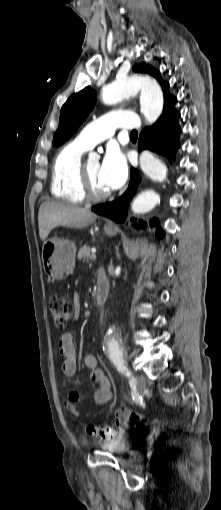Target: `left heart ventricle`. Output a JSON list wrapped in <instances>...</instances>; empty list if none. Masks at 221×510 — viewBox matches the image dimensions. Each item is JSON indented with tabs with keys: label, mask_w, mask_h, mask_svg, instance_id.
I'll return each instance as SVG.
<instances>
[{
	"label": "left heart ventricle",
	"mask_w": 221,
	"mask_h": 510,
	"mask_svg": "<svg viewBox=\"0 0 221 510\" xmlns=\"http://www.w3.org/2000/svg\"><path fill=\"white\" fill-rule=\"evenodd\" d=\"M85 166L94 191L97 193L108 192V190L102 185L99 179L100 163L98 161H91Z\"/></svg>",
	"instance_id": "b2bd125f"
}]
</instances>
